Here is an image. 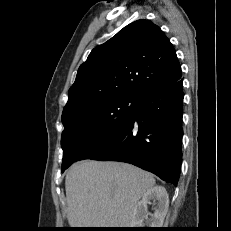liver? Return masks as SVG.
Returning a JSON list of instances; mask_svg holds the SVG:
<instances>
[{
    "mask_svg": "<svg viewBox=\"0 0 231 231\" xmlns=\"http://www.w3.org/2000/svg\"><path fill=\"white\" fill-rule=\"evenodd\" d=\"M155 185L152 174L119 162L86 160L65 178L72 228H129L141 197Z\"/></svg>",
    "mask_w": 231,
    "mask_h": 231,
    "instance_id": "obj_1",
    "label": "liver"
}]
</instances>
